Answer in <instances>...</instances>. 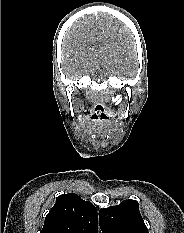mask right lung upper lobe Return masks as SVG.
<instances>
[{
    "mask_svg": "<svg viewBox=\"0 0 184 233\" xmlns=\"http://www.w3.org/2000/svg\"><path fill=\"white\" fill-rule=\"evenodd\" d=\"M98 214L95 206L69 193L57 197L40 233H97Z\"/></svg>",
    "mask_w": 184,
    "mask_h": 233,
    "instance_id": "right-lung-upper-lobe-1",
    "label": "right lung upper lobe"
}]
</instances>
